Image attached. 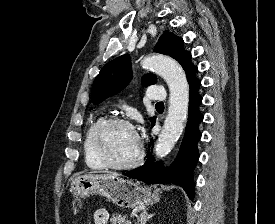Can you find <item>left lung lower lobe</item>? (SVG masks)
I'll use <instances>...</instances> for the list:
<instances>
[{"mask_svg":"<svg viewBox=\"0 0 275 224\" xmlns=\"http://www.w3.org/2000/svg\"><path fill=\"white\" fill-rule=\"evenodd\" d=\"M197 70L198 69L194 70L190 76L187 77L190 89L188 122L181 148L173 164L168 170H165L161 162L155 163L153 161L154 158L148 154L149 157L144 165L124 174L127 177L143 181L147 184H177L186 191L190 199L194 197L195 188L192 171L199 158L197 142L201 138V133L198 126L203 120V115L199 111L202 97L198 94L201 81L196 77ZM154 124L155 121L152 122V125Z\"/></svg>","mask_w":275,"mask_h":224,"instance_id":"0a47b994","label":"left lung lower lobe"}]
</instances>
